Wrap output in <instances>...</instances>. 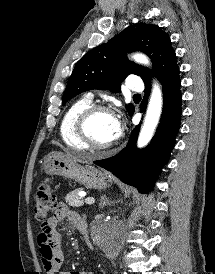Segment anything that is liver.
<instances>
[{"label":"liver","mask_w":215,"mask_h":274,"mask_svg":"<svg viewBox=\"0 0 215 274\" xmlns=\"http://www.w3.org/2000/svg\"><path fill=\"white\" fill-rule=\"evenodd\" d=\"M70 157H72L75 161H80V162H83L80 158H78V157H74V156H72V155H69Z\"/></svg>","instance_id":"liver-1"}]
</instances>
